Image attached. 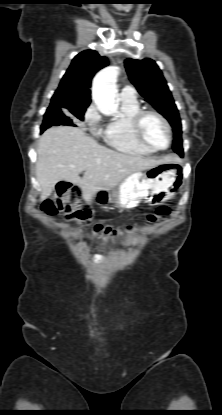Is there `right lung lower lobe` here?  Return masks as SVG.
<instances>
[{"label":"right lung lower lobe","instance_id":"obj_1","mask_svg":"<svg viewBox=\"0 0 222 415\" xmlns=\"http://www.w3.org/2000/svg\"><path fill=\"white\" fill-rule=\"evenodd\" d=\"M52 125H64V124L61 122V117L57 115L49 116L48 114H45L44 121L41 126V132H43L45 129L49 128Z\"/></svg>","mask_w":222,"mask_h":415}]
</instances>
